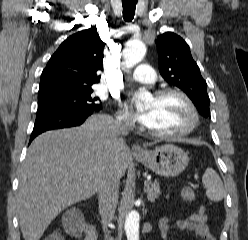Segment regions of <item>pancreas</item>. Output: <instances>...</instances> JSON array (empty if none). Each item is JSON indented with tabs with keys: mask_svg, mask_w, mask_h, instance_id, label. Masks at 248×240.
<instances>
[{
	"mask_svg": "<svg viewBox=\"0 0 248 240\" xmlns=\"http://www.w3.org/2000/svg\"><path fill=\"white\" fill-rule=\"evenodd\" d=\"M146 189H145V192L147 194V198L153 202L155 201L156 198L159 197L160 195V187H159V184L157 182H154V183H148L146 185Z\"/></svg>",
	"mask_w": 248,
	"mask_h": 240,
	"instance_id": "obj_1",
	"label": "pancreas"
}]
</instances>
